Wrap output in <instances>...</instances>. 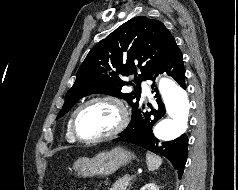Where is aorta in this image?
<instances>
[{
	"mask_svg": "<svg viewBox=\"0 0 238 190\" xmlns=\"http://www.w3.org/2000/svg\"><path fill=\"white\" fill-rule=\"evenodd\" d=\"M159 90L168 117L160 120L154 135L160 141H171L183 134L188 126L190 102L188 93L171 79L162 78Z\"/></svg>",
	"mask_w": 238,
	"mask_h": 190,
	"instance_id": "762f6f07",
	"label": "aorta"
}]
</instances>
